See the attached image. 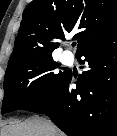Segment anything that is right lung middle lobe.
I'll return each instance as SVG.
<instances>
[{"mask_svg":"<svg viewBox=\"0 0 117 136\" xmlns=\"http://www.w3.org/2000/svg\"><path fill=\"white\" fill-rule=\"evenodd\" d=\"M59 68L52 56L28 57L7 66L4 78L2 114L22 109L47 95L68 74Z\"/></svg>","mask_w":117,"mask_h":136,"instance_id":"1","label":"right lung middle lobe"}]
</instances>
